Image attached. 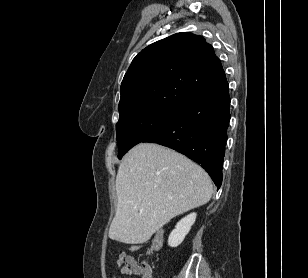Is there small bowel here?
<instances>
[{
	"label": "small bowel",
	"instance_id": "obj_1",
	"mask_svg": "<svg viewBox=\"0 0 308 278\" xmlns=\"http://www.w3.org/2000/svg\"><path fill=\"white\" fill-rule=\"evenodd\" d=\"M125 256H126L125 253H121V254L119 255V258H118V260H117V262H116L117 266H120V265H121V260H122L123 257H125ZM120 272H121L122 274H129L123 267L121 268ZM138 275H140L141 278H153V277H152V269H151V267H150L148 264L145 265L144 270H143L140 274H138ZM114 278H115V277H114Z\"/></svg>",
	"mask_w": 308,
	"mask_h": 278
}]
</instances>
